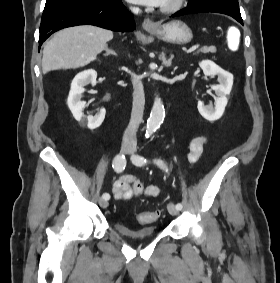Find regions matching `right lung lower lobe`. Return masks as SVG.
<instances>
[{
    "label": "right lung lower lobe",
    "mask_w": 280,
    "mask_h": 283,
    "mask_svg": "<svg viewBox=\"0 0 280 283\" xmlns=\"http://www.w3.org/2000/svg\"><path fill=\"white\" fill-rule=\"evenodd\" d=\"M87 24L122 32L133 31L136 28L133 15L121 0L61 3L44 8L39 46L58 30Z\"/></svg>",
    "instance_id": "right-lung-lower-lobe-1"
}]
</instances>
